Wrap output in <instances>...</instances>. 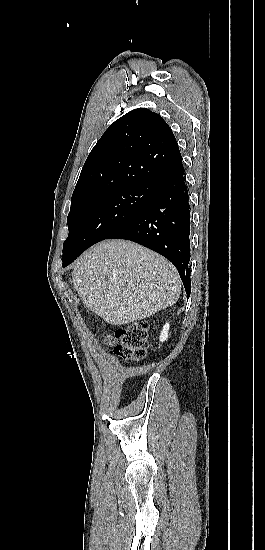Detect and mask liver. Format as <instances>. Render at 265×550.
Wrapping results in <instances>:
<instances>
[{"label":"liver","instance_id":"liver-1","mask_svg":"<svg viewBox=\"0 0 265 550\" xmlns=\"http://www.w3.org/2000/svg\"><path fill=\"white\" fill-rule=\"evenodd\" d=\"M72 281L86 307L117 326L172 306L181 292L172 263L125 240L102 241L87 250L75 265Z\"/></svg>","mask_w":265,"mask_h":550}]
</instances>
